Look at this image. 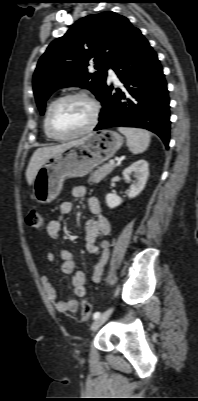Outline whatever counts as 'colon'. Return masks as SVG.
I'll return each instance as SVG.
<instances>
[{"label": "colon", "instance_id": "colon-1", "mask_svg": "<svg viewBox=\"0 0 198 401\" xmlns=\"http://www.w3.org/2000/svg\"><path fill=\"white\" fill-rule=\"evenodd\" d=\"M27 223L32 228H42L44 226V218L40 211L31 210L27 216ZM92 312V304L88 300L82 301V319L87 320Z\"/></svg>", "mask_w": 198, "mask_h": 401}]
</instances>
